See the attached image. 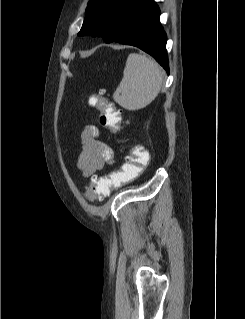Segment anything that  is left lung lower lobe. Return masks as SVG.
Returning a JSON list of instances; mask_svg holds the SVG:
<instances>
[{"label":"left lung lower lobe","mask_w":245,"mask_h":319,"mask_svg":"<svg viewBox=\"0 0 245 319\" xmlns=\"http://www.w3.org/2000/svg\"><path fill=\"white\" fill-rule=\"evenodd\" d=\"M160 10L148 0L126 21L113 42L136 46L153 56L169 73L166 51V34L159 20Z\"/></svg>","instance_id":"0a47b994"}]
</instances>
